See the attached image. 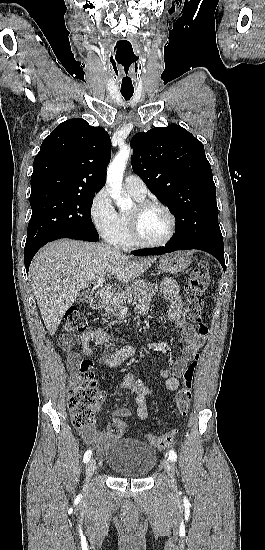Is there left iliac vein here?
I'll list each match as a JSON object with an SVG mask.
<instances>
[{
	"instance_id": "left-iliac-vein-1",
	"label": "left iliac vein",
	"mask_w": 265,
	"mask_h": 550,
	"mask_svg": "<svg viewBox=\"0 0 265 550\" xmlns=\"http://www.w3.org/2000/svg\"><path fill=\"white\" fill-rule=\"evenodd\" d=\"M164 467H165V471L168 474V476L173 480V471H174V469H173V464L169 459H167L165 461Z\"/></svg>"
}]
</instances>
